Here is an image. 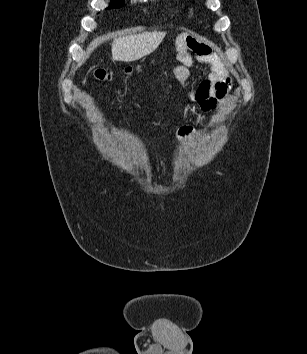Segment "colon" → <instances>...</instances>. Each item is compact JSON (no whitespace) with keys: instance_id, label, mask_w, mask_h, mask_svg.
Returning <instances> with one entry per match:
<instances>
[{"instance_id":"5ec220e1","label":"colon","mask_w":307,"mask_h":354,"mask_svg":"<svg viewBox=\"0 0 307 354\" xmlns=\"http://www.w3.org/2000/svg\"><path fill=\"white\" fill-rule=\"evenodd\" d=\"M136 68L135 67H127L125 68L124 70V73L127 75V76H131L132 74H134L136 72ZM93 76L97 79V80H100V81H107L110 79L111 77V74L109 71H107L106 69H102V68H98V69H95L93 71Z\"/></svg>"}]
</instances>
